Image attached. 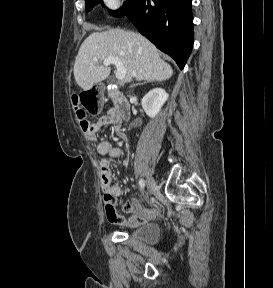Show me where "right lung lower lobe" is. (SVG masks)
<instances>
[{"label":"right lung lower lobe","instance_id":"98d812e1","mask_svg":"<svg viewBox=\"0 0 273 288\" xmlns=\"http://www.w3.org/2000/svg\"><path fill=\"white\" fill-rule=\"evenodd\" d=\"M192 0H135L125 15L158 49L170 55L180 69L192 51Z\"/></svg>","mask_w":273,"mask_h":288}]
</instances>
